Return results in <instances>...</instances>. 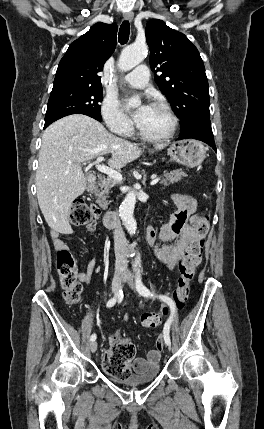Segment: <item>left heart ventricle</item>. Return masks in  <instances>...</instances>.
Segmentation results:
<instances>
[{
	"mask_svg": "<svg viewBox=\"0 0 264 429\" xmlns=\"http://www.w3.org/2000/svg\"><path fill=\"white\" fill-rule=\"evenodd\" d=\"M138 126L144 134L151 137H159L169 131L171 121L163 110L149 107Z\"/></svg>",
	"mask_w": 264,
	"mask_h": 429,
	"instance_id": "1",
	"label": "left heart ventricle"
}]
</instances>
